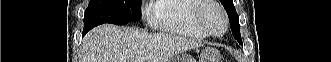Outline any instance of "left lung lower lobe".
<instances>
[{
    "mask_svg": "<svg viewBox=\"0 0 331 62\" xmlns=\"http://www.w3.org/2000/svg\"><path fill=\"white\" fill-rule=\"evenodd\" d=\"M233 31V30H232ZM234 37L241 43L242 40H241V35L240 34H234Z\"/></svg>",
    "mask_w": 331,
    "mask_h": 62,
    "instance_id": "1",
    "label": "left lung lower lobe"
}]
</instances>
